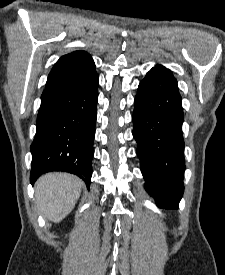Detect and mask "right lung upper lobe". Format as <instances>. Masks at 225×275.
I'll return each instance as SVG.
<instances>
[{
	"label": "right lung upper lobe",
	"mask_w": 225,
	"mask_h": 275,
	"mask_svg": "<svg viewBox=\"0 0 225 275\" xmlns=\"http://www.w3.org/2000/svg\"><path fill=\"white\" fill-rule=\"evenodd\" d=\"M96 74L94 61L87 52L78 50L66 54L52 68L42 95L89 85Z\"/></svg>",
	"instance_id": "cb5924a9"
}]
</instances>
